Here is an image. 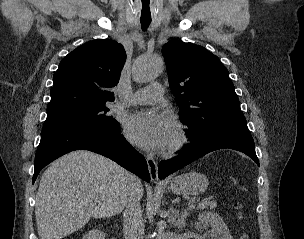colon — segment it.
<instances>
[{
    "label": "colon",
    "instance_id": "colon-1",
    "mask_svg": "<svg viewBox=\"0 0 304 239\" xmlns=\"http://www.w3.org/2000/svg\"><path fill=\"white\" fill-rule=\"evenodd\" d=\"M235 206H236L237 208H239V207H240V203H239V202L235 203ZM244 239H246V237H244Z\"/></svg>",
    "mask_w": 304,
    "mask_h": 239
}]
</instances>
